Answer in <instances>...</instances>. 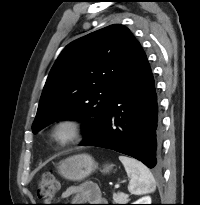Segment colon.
<instances>
[{
  "instance_id": "5ec220e1",
  "label": "colon",
  "mask_w": 200,
  "mask_h": 205,
  "mask_svg": "<svg viewBox=\"0 0 200 205\" xmlns=\"http://www.w3.org/2000/svg\"><path fill=\"white\" fill-rule=\"evenodd\" d=\"M59 189L60 184L54 173L47 172L39 180L38 196L43 199H49L54 197Z\"/></svg>"
}]
</instances>
